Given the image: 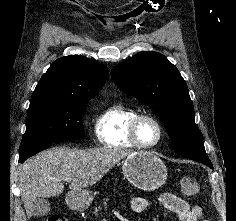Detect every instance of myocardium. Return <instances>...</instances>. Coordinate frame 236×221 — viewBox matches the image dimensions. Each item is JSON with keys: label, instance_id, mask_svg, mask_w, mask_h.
<instances>
[{"label": "myocardium", "instance_id": "myocardium-1", "mask_svg": "<svg viewBox=\"0 0 236 221\" xmlns=\"http://www.w3.org/2000/svg\"><path fill=\"white\" fill-rule=\"evenodd\" d=\"M145 119L152 121L158 129V138L152 144H143L138 138L137 131H138L139 124L142 120H145ZM128 137H129L130 141L137 148L151 149V148H154V147L158 146L160 144V142L162 141V139L164 137V127H163L161 121L156 116H154L152 114H148V113L137 114L131 120V122L129 124Z\"/></svg>", "mask_w": 236, "mask_h": 221}]
</instances>
